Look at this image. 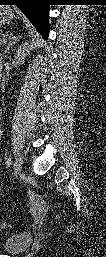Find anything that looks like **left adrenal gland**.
Here are the masks:
<instances>
[{
  "instance_id": "a2214340",
  "label": "left adrenal gland",
  "mask_w": 106,
  "mask_h": 257,
  "mask_svg": "<svg viewBox=\"0 0 106 257\" xmlns=\"http://www.w3.org/2000/svg\"><path fill=\"white\" fill-rule=\"evenodd\" d=\"M18 41V37L13 36V33H10L9 37H8V43L5 47L4 53H5V57L6 54L8 53L10 47H12L16 42Z\"/></svg>"
}]
</instances>
